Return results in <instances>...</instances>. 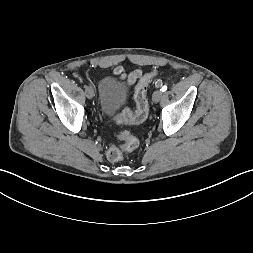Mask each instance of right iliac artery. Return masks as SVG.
Here are the masks:
<instances>
[{
	"label": "right iliac artery",
	"mask_w": 253,
	"mask_h": 253,
	"mask_svg": "<svg viewBox=\"0 0 253 253\" xmlns=\"http://www.w3.org/2000/svg\"><path fill=\"white\" fill-rule=\"evenodd\" d=\"M88 86L87 85H84V88L86 89Z\"/></svg>",
	"instance_id": "obj_1"
}]
</instances>
